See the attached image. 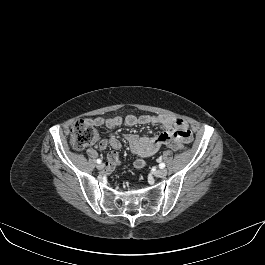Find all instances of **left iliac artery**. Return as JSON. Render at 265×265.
I'll use <instances>...</instances> for the list:
<instances>
[{
	"instance_id": "obj_1",
	"label": "left iliac artery",
	"mask_w": 265,
	"mask_h": 265,
	"mask_svg": "<svg viewBox=\"0 0 265 265\" xmlns=\"http://www.w3.org/2000/svg\"><path fill=\"white\" fill-rule=\"evenodd\" d=\"M157 161H158V162H161V161H162L161 157L158 158ZM159 167H160L161 169H163V168H165V164H164V163H160V164H159Z\"/></svg>"
}]
</instances>
